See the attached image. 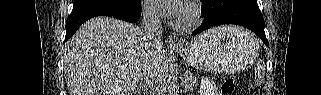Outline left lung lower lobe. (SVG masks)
Masks as SVG:
<instances>
[{"instance_id": "0a47b994", "label": "left lung lower lobe", "mask_w": 321, "mask_h": 95, "mask_svg": "<svg viewBox=\"0 0 321 95\" xmlns=\"http://www.w3.org/2000/svg\"><path fill=\"white\" fill-rule=\"evenodd\" d=\"M201 10L204 20L192 35L216 25L236 24L252 30L269 46L257 0H202Z\"/></svg>"}]
</instances>
